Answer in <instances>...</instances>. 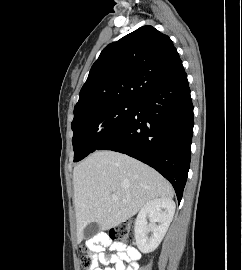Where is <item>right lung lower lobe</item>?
Wrapping results in <instances>:
<instances>
[{
    "mask_svg": "<svg viewBox=\"0 0 242 270\" xmlns=\"http://www.w3.org/2000/svg\"><path fill=\"white\" fill-rule=\"evenodd\" d=\"M193 104L183 66L148 89L125 124L97 150H113L156 169L181 201L191 159Z\"/></svg>",
    "mask_w": 242,
    "mask_h": 270,
    "instance_id": "1",
    "label": "right lung lower lobe"
}]
</instances>
